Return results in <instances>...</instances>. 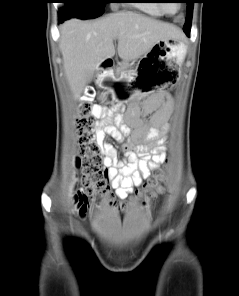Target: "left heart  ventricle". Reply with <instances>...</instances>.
I'll return each instance as SVG.
<instances>
[{"label":"left heart ventricle","mask_w":239,"mask_h":296,"mask_svg":"<svg viewBox=\"0 0 239 296\" xmlns=\"http://www.w3.org/2000/svg\"><path fill=\"white\" fill-rule=\"evenodd\" d=\"M166 5L170 11L175 12L178 4L177 3H167Z\"/></svg>","instance_id":"b2bd125f"}]
</instances>
